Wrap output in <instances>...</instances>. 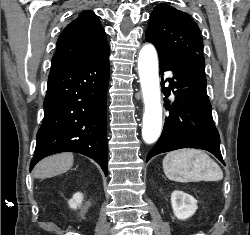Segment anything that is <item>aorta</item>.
<instances>
[{"label": "aorta", "instance_id": "762f6f07", "mask_svg": "<svg viewBox=\"0 0 250 235\" xmlns=\"http://www.w3.org/2000/svg\"><path fill=\"white\" fill-rule=\"evenodd\" d=\"M138 70L145 104L142 137L152 144L158 139L162 126L158 61L153 45L146 44L140 50Z\"/></svg>", "mask_w": 250, "mask_h": 235}]
</instances>
